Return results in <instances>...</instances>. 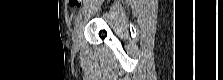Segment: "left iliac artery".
Instances as JSON below:
<instances>
[{"mask_svg":"<svg viewBox=\"0 0 223 80\" xmlns=\"http://www.w3.org/2000/svg\"><path fill=\"white\" fill-rule=\"evenodd\" d=\"M83 9H81L75 17V24L77 25L82 19Z\"/></svg>","mask_w":223,"mask_h":80,"instance_id":"44dca946","label":"left iliac artery"}]
</instances>
